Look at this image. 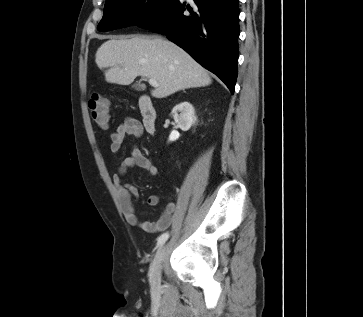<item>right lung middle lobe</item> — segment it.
I'll list each match as a JSON object with an SVG mask.
<instances>
[{
    "label": "right lung middle lobe",
    "mask_w": 363,
    "mask_h": 317,
    "mask_svg": "<svg viewBox=\"0 0 363 317\" xmlns=\"http://www.w3.org/2000/svg\"><path fill=\"white\" fill-rule=\"evenodd\" d=\"M176 0H106L99 31L145 23L173 6Z\"/></svg>",
    "instance_id": "obj_1"
}]
</instances>
